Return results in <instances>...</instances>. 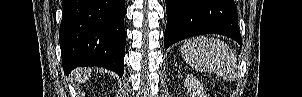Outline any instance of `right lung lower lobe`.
Wrapping results in <instances>:
<instances>
[{
	"label": "right lung lower lobe",
	"instance_id": "obj_1",
	"mask_svg": "<svg viewBox=\"0 0 302 97\" xmlns=\"http://www.w3.org/2000/svg\"><path fill=\"white\" fill-rule=\"evenodd\" d=\"M125 0H64L59 32L66 74L99 66L123 75Z\"/></svg>",
	"mask_w": 302,
	"mask_h": 97
}]
</instances>
